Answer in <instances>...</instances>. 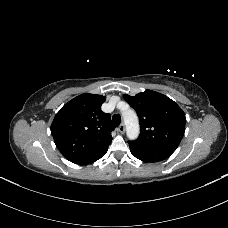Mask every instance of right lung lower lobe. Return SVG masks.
<instances>
[{
	"label": "right lung lower lobe",
	"instance_id": "98d812e1",
	"mask_svg": "<svg viewBox=\"0 0 228 228\" xmlns=\"http://www.w3.org/2000/svg\"><path fill=\"white\" fill-rule=\"evenodd\" d=\"M108 150V147L96 152V153H93L91 155H88L86 157H83V158H80V159H76V160H73L71 162L75 163V164H89V163H93L95 161H97L98 159H100L101 157H103L106 152Z\"/></svg>",
	"mask_w": 228,
	"mask_h": 228
}]
</instances>
